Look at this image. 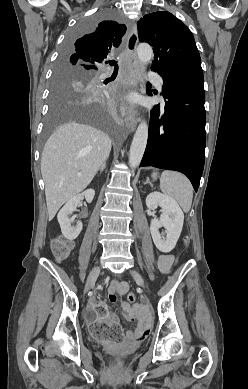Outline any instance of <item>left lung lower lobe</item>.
Instances as JSON below:
<instances>
[{"instance_id":"1","label":"left lung lower lobe","mask_w":248,"mask_h":389,"mask_svg":"<svg viewBox=\"0 0 248 389\" xmlns=\"http://www.w3.org/2000/svg\"><path fill=\"white\" fill-rule=\"evenodd\" d=\"M164 109L150 112L149 136L140 166L176 170L198 190L205 161V91L203 72L190 71L163 78ZM151 84L147 85L148 95Z\"/></svg>"}]
</instances>
